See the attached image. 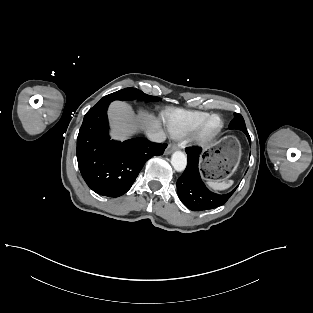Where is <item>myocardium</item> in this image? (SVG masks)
Masks as SVG:
<instances>
[{
  "label": "myocardium",
  "mask_w": 313,
  "mask_h": 313,
  "mask_svg": "<svg viewBox=\"0 0 313 313\" xmlns=\"http://www.w3.org/2000/svg\"><path fill=\"white\" fill-rule=\"evenodd\" d=\"M217 119L219 121V125L215 130H209V124L212 120ZM224 128L223 119L217 115L212 114L209 115L192 133L190 136V140L193 144L206 147L210 145L222 132Z\"/></svg>",
  "instance_id": "obj_1"
}]
</instances>
